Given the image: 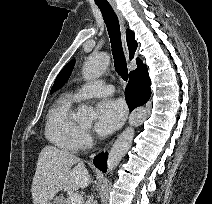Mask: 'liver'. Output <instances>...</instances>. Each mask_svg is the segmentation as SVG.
<instances>
[{
	"label": "liver",
	"mask_w": 212,
	"mask_h": 204,
	"mask_svg": "<svg viewBox=\"0 0 212 204\" xmlns=\"http://www.w3.org/2000/svg\"><path fill=\"white\" fill-rule=\"evenodd\" d=\"M89 183L90 175L78 157L46 145L39 154L31 187L33 204H46L63 189L76 191L86 188Z\"/></svg>",
	"instance_id": "6515ba94"
}]
</instances>
